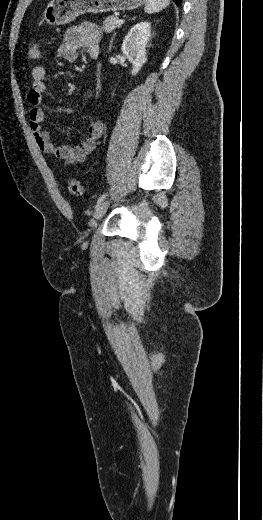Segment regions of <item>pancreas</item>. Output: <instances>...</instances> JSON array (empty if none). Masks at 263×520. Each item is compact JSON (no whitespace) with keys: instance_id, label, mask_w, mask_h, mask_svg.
<instances>
[{"instance_id":"obj_1","label":"pancreas","mask_w":263,"mask_h":520,"mask_svg":"<svg viewBox=\"0 0 263 520\" xmlns=\"http://www.w3.org/2000/svg\"><path fill=\"white\" fill-rule=\"evenodd\" d=\"M119 18L117 16L111 15L104 19L102 29L106 32H112L116 28L120 27V24L117 23Z\"/></svg>"}]
</instances>
